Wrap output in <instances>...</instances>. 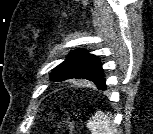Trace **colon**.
<instances>
[{
  "instance_id": "5ec220e1",
  "label": "colon",
  "mask_w": 153,
  "mask_h": 134,
  "mask_svg": "<svg viewBox=\"0 0 153 134\" xmlns=\"http://www.w3.org/2000/svg\"><path fill=\"white\" fill-rule=\"evenodd\" d=\"M50 134H72V126L68 120L63 119L51 128Z\"/></svg>"
}]
</instances>
